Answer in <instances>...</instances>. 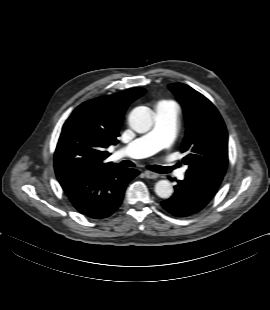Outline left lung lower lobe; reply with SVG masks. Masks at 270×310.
I'll use <instances>...</instances> for the list:
<instances>
[{"label":"left lung lower lobe","mask_w":270,"mask_h":310,"mask_svg":"<svg viewBox=\"0 0 270 310\" xmlns=\"http://www.w3.org/2000/svg\"><path fill=\"white\" fill-rule=\"evenodd\" d=\"M222 180L187 174L178 181L173 196L162 201L165 210L177 217H187L203 210L214 197Z\"/></svg>","instance_id":"obj_1"}]
</instances>
